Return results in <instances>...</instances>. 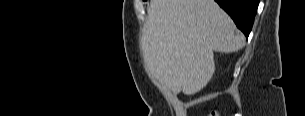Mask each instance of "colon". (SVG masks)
<instances>
[{"label":"colon","instance_id":"obj_1","mask_svg":"<svg viewBox=\"0 0 305 116\" xmlns=\"http://www.w3.org/2000/svg\"><path fill=\"white\" fill-rule=\"evenodd\" d=\"M209 116H219V114L216 111H213L209 114Z\"/></svg>","mask_w":305,"mask_h":116}]
</instances>
